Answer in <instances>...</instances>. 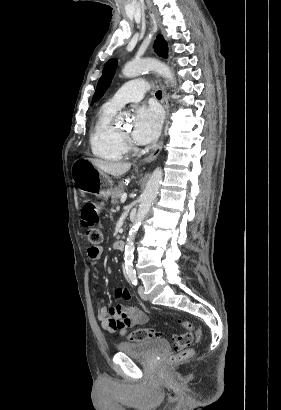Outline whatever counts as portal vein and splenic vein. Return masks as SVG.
<instances>
[{
    "mask_svg": "<svg viewBox=\"0 0 281 410\" xmlns=\"http://www.w3.org/2000/svg\"><path fill=\"white\" fill-rule=\"evenodd\" d=\"M126 199H127V193H123L121 198H120L121 203H124L126 201Z\"/></svg>",
    "mask_w": 281,
    "mask_h": 410,
    "instance_id": "obj_1",
    "label": "portal vein and splenic vein"
}]
</instances>
